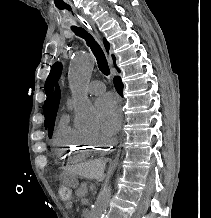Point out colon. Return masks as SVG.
<instances>
[{
  "instance_id": "colon-1",
  "label": "colon",
  "mask_w": 211,
  "mask_h": 218,
  "mask_svg": "<svg viewBox=\"0 0 211 218\" xmlns=\"http://www.w3.org/2000/svg\"><path fill=\"white\" fill-rule=\"evenodd\" d=\"M57 193L59 199L65 203L71 201L72 199L71 189L66 185L59 186Z\"/></svg>"
}]
</instances>
